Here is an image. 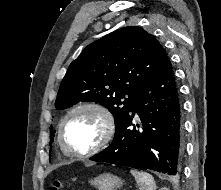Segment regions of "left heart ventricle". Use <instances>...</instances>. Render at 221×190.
<instances>
[{"mask_svg": "<svg viewBox=\"0 0 221 190\" xmlns=\"http://www.w3.org/2000/svg\"><path fill=\"white\" fill-rule=\"evenodd\" d=\"M102 131L103 122L100 115L92 110H81L66 121L63 138L70 148L84 151L99 141Z\"/></svg>", "mask_w": 221, "mask_h": 190, "instance_id": "left-heart-ventricle-1", "label": "left heart ventricle"}]
</instances>
